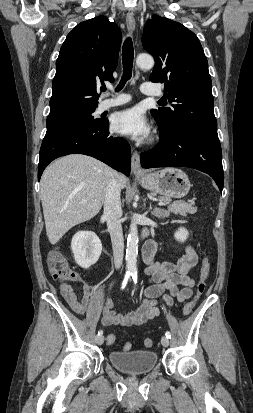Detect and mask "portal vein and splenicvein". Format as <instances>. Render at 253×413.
<instances>
[{
    "instance_id": "18ae733b",
    "label": "portal vein and splenic vein",
    "mask_w": 253,
    "mask_h": 413,
    "mask_svg": "<svg viewBox=\"0 0 253 413\" xmlns=\"http://www.w3.org/2000/svg\"><path fill=\"white\" fill-rule=\"evenodd\" d=\"M82 203L84 204V203H86V201H82ZM159 204H160V205H163L164 202H163V201H160Z\"/></svg>"
}]
</instances>
